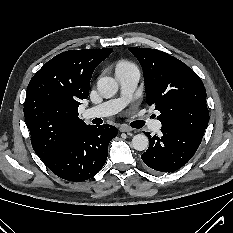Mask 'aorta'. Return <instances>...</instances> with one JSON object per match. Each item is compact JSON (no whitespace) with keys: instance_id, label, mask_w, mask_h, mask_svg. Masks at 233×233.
I'll return each mask as SVG.
<instances>
[{"instance_id":"aorta-1","label":"aorta","mask_w":233,"mask_h":233,"mask_svg":"<svg viewBox=\"0 0 233 233\" xmlns=\"http://www.w3.org/2000/svg\"><path fill=\"white\" fill-rule=\"evenodd\" d=\"M97 89L104 98H111L118 91V83L114 78L102 77L97 82ZM148 145V138L144 134H137L132 138V147L137 151L146 150Z\"/></svg>"}]
</instances>
